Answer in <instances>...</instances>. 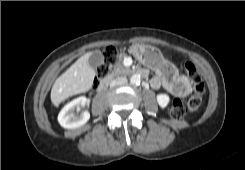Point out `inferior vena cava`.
Segmentation results:
<instances>
[{"label":"inferior vena cava","instance_id":"1","mask_svg":"<svg viewBox=\"0 0 245 170\" xmlns=\"http://www.w3.org/2000/svg\"><path fill=\"white\" fill-rule=\"evenodd\" d=\"M126 83H127V78L126 77H118V78L113 79L110 82V87H115V86H118V85H125Z\"/></svg>","mask_w":245,"mask_h":170}]
</instances>
